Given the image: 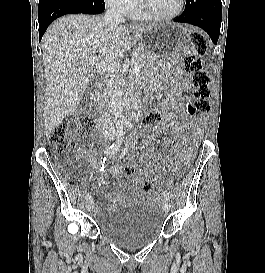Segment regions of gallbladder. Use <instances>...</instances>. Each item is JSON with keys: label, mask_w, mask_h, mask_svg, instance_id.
I'll list each match as a JSON object with an SVG mask.
<instances>
[{"label": "gallbladder", "mask_w": 265, "mask_h": 273, "mask_svg": "<svg viewBox=\"0 0 265 273\" xmlns=\"http://www.w3.org/2000/svg\"><path fill=\"white\" fill-rule=\"evenodd\" d=\"M94 87H95V82L91 81L89 83L83 97L81 98L79 104L77 105L76 111L86 108V106L88 105V102L90 100V97H91V94H92V91H93Z\"/></svg>", "instance_id": "1"}]
</instances>
